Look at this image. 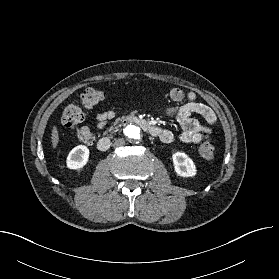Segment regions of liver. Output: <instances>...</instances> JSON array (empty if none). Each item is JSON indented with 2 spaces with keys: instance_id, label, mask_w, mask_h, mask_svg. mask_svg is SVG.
Wrapping results in <instances>:
<instances>
[{
  "instance_id": "1",
  "label": "liver",
  "mask_w": 279,
  "mask_h": 279,
  "mask_svg": "<svg viewBox=\"0 0 279 279\" xmlns=\"http://www.w3.org/2000/svg\"><path fill=\"white\" fill-rule=\"evenodd\" d=\"M59 141V134H58V130L57 127L54 126L52 129V133H51V142H52V147L56 148L57 144Z\"/></svg>"
}]
</instances>
